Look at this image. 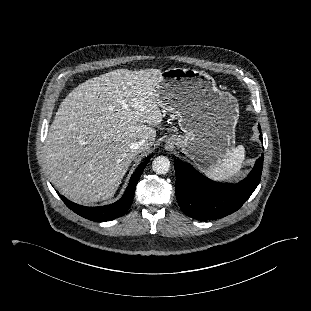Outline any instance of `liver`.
<instances>
[{
	"mask_svg": "<svg viewBox=\"0 0 311 311\" xmlns=\"http://www.w3.org/2000/svg\"><path fill=\"white\" fill-rule=\"evenodd\" d=\"M159 69H117L85 81L60 104L46 139L52 184L71 201L111 199L137 155L149 151L162 120L157 102Z\"/></svg>",
	"mask_w": 311,
	"mask_h": 311,
	"instance_id": "obj_1",
	"label": "liver"
}]
</instances>
